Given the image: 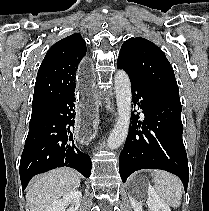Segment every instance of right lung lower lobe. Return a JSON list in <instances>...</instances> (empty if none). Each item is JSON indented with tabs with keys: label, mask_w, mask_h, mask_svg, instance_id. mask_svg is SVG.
I'll return each mask as SVG.
<instances>
[{
	"label": "right lung lower lobe",
	"mask_w": 209,
	"mask_h": 211,
	"mask_svg": "<svg viewBox=\"0 0 209 211\" xmlns=\"http://www.w3.org/2000/svg\"><path fill=\"white\" fill-rule=\"evenodd\" d=\"M75 94H68L41 111L39 118L29 125L20 161L22 190L31 178L57 167H71L88 178L91 159L80 151L73 140L75 123Z\"/></svg>",
	"instance_id": "1"
}]
</instances>
